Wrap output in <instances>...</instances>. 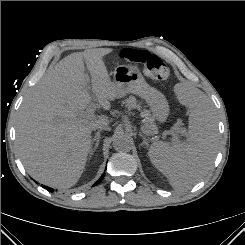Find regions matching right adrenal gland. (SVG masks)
Instances as JSON below:
<instances>
[{
	"label": "right adrenal gland",
	"instance_id": "2a0ac1e0",
	"mask_svg": "<svg viewBox=\"0 0 245 245\" xmlns=\"http://www.w3.org/2000/svg\"><path fill=\"white\" fill-rule=\"evenodd\" d=\"M101 131H102L101 129L98 130V131L95 133V136H94V138H93L92 141H91V146H92V148H91L90 154H93V153L95 152V150L97 149L98 145H99V139H100V132H101ZM93 144H94V147H93Z\"/></svg>",
	"mask_w": 245,
	"mask_h": 245
}]
</instances>
